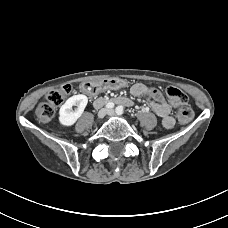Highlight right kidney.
Returning <instances> with one entry per match:
<instances>
[{
    "label": "right kidney",
    "mask_w": 228,
    "mask_h": 228,
    "mask_svg": "<svg viewBox=\"0 0 228 228\" xmlns=\"http://www.w3.org/2000/svg\"><path fill=\"white\" fill-rule=\"evenodd\" d=\"M87 103L88 98L83 94L74 95L67 99L59 111L60 124L63 126H72L82 115ZM74 106H77L75 111L72 110Z\"/></svg>",
    "instance_id": "ca27d5eb"
}]
</instances>
